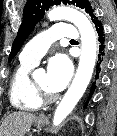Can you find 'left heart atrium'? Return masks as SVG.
<instances>
[{
  "label": "left heart atrium",
  "instance_id": "1",
  "mask_svg": "<svg viewBox=\"0 0 117 136\" xmlns=\"http://www.w3.org/2000/svg\"><path fill=\"white\" fill-rule=\"evenodd\" d=\"M72 74L70 59L63 53L52 56L48 63L47 83L57 93L65 88Z\"/></svg>",
  "mask_w": 117,
  "mask_h": 136
}]
</instances>
